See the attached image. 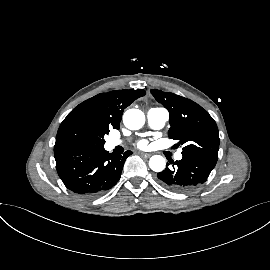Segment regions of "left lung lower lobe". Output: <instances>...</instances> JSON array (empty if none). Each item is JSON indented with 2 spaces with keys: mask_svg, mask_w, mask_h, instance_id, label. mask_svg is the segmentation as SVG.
Instances as JSON below:
<instances>
[{
  "mask_svg": "<svg viewBox=\"0 0 270 270\" xmlns=\"http://www.w3.org/2000/svg\"><path fill=\"white\" fill-rule=\"evenodd\" d=\"M172 167L157 174L160 183L174 192H188L204 183L214 164L191 155H183L180 161H170ZM168 165V164H167Z\"/></svg>",
  "mask_w": 270,
  "mask_h": 270,
  "instance_id": "left-lung-lower-lobe-1",
  "label": "left lung lower lobe"
}]
</instances>
